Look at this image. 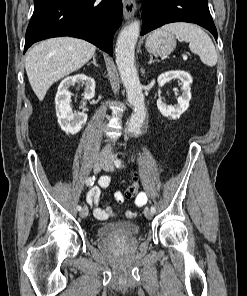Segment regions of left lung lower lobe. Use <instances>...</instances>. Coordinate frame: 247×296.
Segmentation results:
<instances>
[{
    "label": "left lung lower lobe",
    "instance_id": "0a47b994",
    "mask_svg": "<svg viewBox=\"0 0 247 296\" xmlns=\"http://www.w3.org/2000/svg\"><path fill=\"white\" fill-rule=\"evenodd\" d=\"M142 19L141 35L167 23L189 22L208 29L217 40L208 0H143Z\"/></svg>",
    "mask_w": 247,
    "mask_h": 296
}]
</instances>
